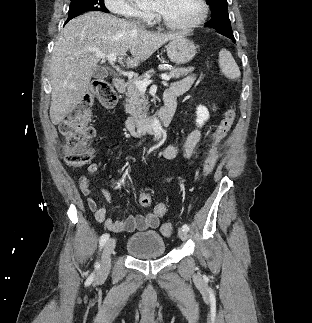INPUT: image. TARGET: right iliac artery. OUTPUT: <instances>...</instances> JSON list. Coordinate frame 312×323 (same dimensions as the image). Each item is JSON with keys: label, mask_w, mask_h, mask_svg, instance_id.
Returning <instances> with one entry per match:
<instances>
[{"label": "right iliac artery", "mask_w": 312, "mask_h": 323, "mask_svg": "<svg viewBox=\"0 0 312 323\" xmlns=\"http://www.w3.org/2000/svg\"><path fill=\"white\" fill-rule=\"evenodd\" d=\"M109 239V234L105 233L101 236L99 244H100V248H102V246L106 243V241ZM96 267L99 266L98 262L95 265Z\"/></svg>", "instance_id": "right-iliac-artery-1"}]
</instances>
